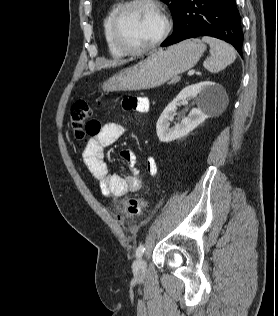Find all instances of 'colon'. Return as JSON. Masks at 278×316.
<instances>
[{"instance_id":"obj_1","label":"colon","mask_w":278,"mask_h":316,"mask_svg":"<svg viewBox=\"0 0 278 316\" xmlns=\"http://www.w3.org/2000/svg\"><path fill=\"white\" fill-rule=\"evenodd\" d=\"M92 110L84 100L75 101L70 109L69 120L76 140H83L88 135H94L99 130V123L91 120ZM147 201L143 198H131L123 204V215L131 220H137L143 214Z\"/></svg>"}]
</instances>
